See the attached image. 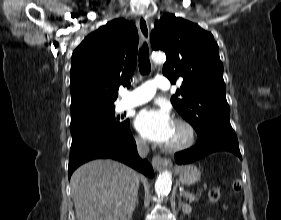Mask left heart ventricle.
<instances>
[{"label": "left heart ventricle", "instance_id": "1", "mask_svg": "<svg viewBox=\"0 0 281 220\" xmlns=\"http://www.w3.org/2000/svg\"><path fill=\"white\" fill-rule=\"evenodd\" d=\"M184 139H185L184 129L181 126L174 123L171 135L165 144L166 145H176V144L182 142Z\"/></svg>", "mask_w": 281, "mask_h": 220}]
</instances>
